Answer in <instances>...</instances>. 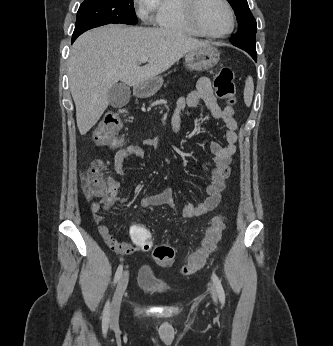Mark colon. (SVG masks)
<instances>
[{
  "label": "colon",
  "mask_w": 333,
  "mask_h": 346,
  "mask_svg": "<svg viewBox=\"0 0 333 346\" xmlns=\"http://www.w3.org/2000/svg\"><path fill=\"white\" fill-rule=\"evenodd\" d=\"M214 89L217 97L227 101L229 106L235 103L236 86L232 69L223 67L218 71L214 79ZM124 115V109L104 115L93 135V140L98 146L114 148L122 145L118 132L122 126ZM82 184L88 199L99 201L108 196V180L104 177L101 162H95L86 171L82 177ZM224 228L223 218L216 216L208 226L199 248L188 257L183 267L184 274L191 275L204 266L207 255L215 249L216 244L220 241ZM128 231L130 238L133 239L142 254H147L150 247L154 246L155 243L151 240L150 232L145 226H129ZM152 257L158 265L167 267L174 262L175 250L167 244L156 245L152 250Z\"/></svg>",
  "instance_id": "5ec220e1"
}]
</instances>
